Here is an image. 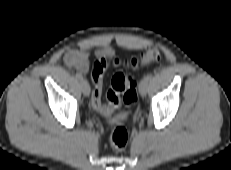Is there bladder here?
<instances>
[{
	"label": "bladder",
	"mask_w": 231,
	"mask_h": 170,
	"mask_svg": "<svg viewBox=\"0 0 231 170\" xmlns=\"http://www.w3.org/2000/svg\"><path fill=\"white\" fill-rule=\"evenodd\" d=\"M125 120H126V117H125L124 114H119V115H117L116 118H115V121H116L117 123H124Z\"/></svg>",
	"instance_id": "obj_1"
}]
</instances>
